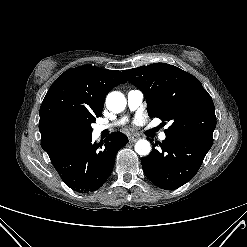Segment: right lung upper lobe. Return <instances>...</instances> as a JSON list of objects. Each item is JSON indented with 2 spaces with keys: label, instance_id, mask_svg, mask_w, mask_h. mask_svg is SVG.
<instances>
[{
  "label": "right lung upper lobe",
  "instance_id": "right-lung-upper-lobe-1",
  "mask_svg": "<svg viewBox=\"0 0 247 247\" xmlns=\"http://www.w3.org/2000/svg\"><path fill=\"white\" fill-rule=\"evenodd\" d=\"M126 82L116 70L91 65L71 68L49 88L40 107L41 146L49 157L72 141L68 132L102 114L107 93Z\"/></svg>",
  "mask_w": 247,
  "mask_h": 247
}]
</instances>
